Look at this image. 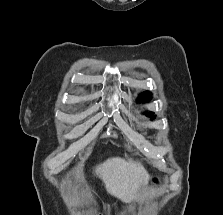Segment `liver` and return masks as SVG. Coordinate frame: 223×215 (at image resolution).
Segmentation results:
<instances>
[{
    "mask_svg": "<svg viewBox=\"0 0 223 215\" xmlns=\"http://www.w3.org/2000/svg\"><path fill=\"white\" fill-rule=\"evenodd\" d=\"M95 173L103 179L108 193L130 203L147 187L149 173L137 161H125L122 157H109L97 165Z\"/></svg>",
    "mask_w": 223,
    "mask_h": 215,
    "instance_id": "6515ba94",
    "label": "liver"
}]
</instances>
